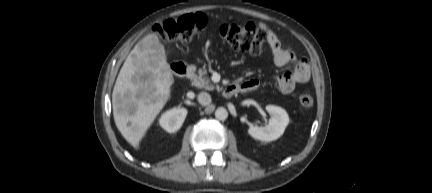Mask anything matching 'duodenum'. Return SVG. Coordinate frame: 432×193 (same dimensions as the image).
<instances>
[{
  "label": "duodenum",
  "mask_w": 432,
  "mask_h": 193,
  "mask_svg": "<svg viewBox=\"0 0 432 193\" xmlns=\"http://www.w3.org/2000/svg\"><path fill=\"white\" fill-rule=\"evenodd\" d=\"M172 71L176 76L182 78H187L193 74V70L190 68V66L183 62H174L172 64ZM239 91H241V87L239 85H229L223 90V96L229 98Z\"/></svg>",
  "instance_id": "410a0bca"
}]
</instances>
